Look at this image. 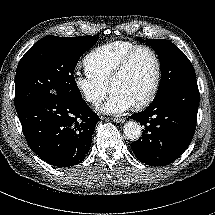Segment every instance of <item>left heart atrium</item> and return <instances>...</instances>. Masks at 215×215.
Masks as SVG:
<instances>
[{
	"mask_svg": "<svg viewBox=\"0 0 215 215\" xmlns=\"http://www.w3.org/2000/svg\"><path fill=\"white\" fill-rule=\"evenodd\" d=\"M131 102L118 92H111L104 106L100 110L107 114H122L131 108Z\"/></svg>",
	"mask_w": 215,
	"mask_h": 215,
	"instance_id": "1",
	"label": "left heart atrium"
}]
</instances>
